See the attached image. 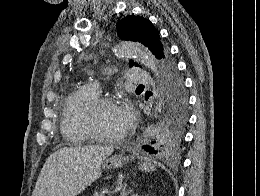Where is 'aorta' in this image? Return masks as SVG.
Wrapping results in <instances>:
<instances>
[{"label": "aorta", "instance_id": "762f6f07", "mask_svg": "<svg viewBox=\"0 0 260 196\" xmlns=\"http://www.w3.org/2000/svg\"><path fill=\"white\" fill-rule=\"evenodd\" d=\"M114 52L120 58L134 57L138 62L144 64L147 68H149L157 76L158 83L160 82V70L158 67V62L153 54L144 46L132 42H121L114 48ZM160 93L161 94H159L158 96V102L155 108V111L157 113H160L162 111L163 105V98L162 96H160L162 95L161 88ZM155 116L157 117V114H155Z\"/></svg>", "mask_w": 260, "mask_h": 196}]
</instances>
